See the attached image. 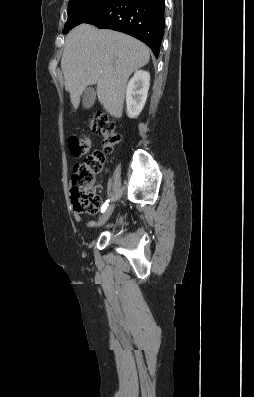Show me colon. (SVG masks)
Here are the masks:
<instances>
[{"label": "colon", "mask_w": 254, "mask_h": 397, "mask_svg": "<svg viewBox=\"0 0 254 397\" xmlns=\"http://www.w3.org/2000/svg\"><path fill=\"white\" fill-rule=\"evenodd\" d=\"M90 132L103 138V150L85 156L77 163L70 177V196L73 208L78 213L94 214L98 211L101 199L92 186L96 176L102 171L106 154L111 153L120 141L115 123L105 114L94 115L89 122ZM69 149L74 157L86 155L91 147L87 136L73 135L69 138Z\"/></svg>", "instance_id": "obj_1"}]
</instances>
